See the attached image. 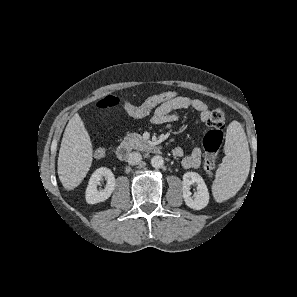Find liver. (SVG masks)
<instances>
[{
  "label": "liver",
  "mask_w": 297,
  "mask_h": 297,
  "mask_svg": "<svg viewBox=\"0 0 297 297\" xmlns=\"http://www.w3.org/2000/svg\"><path fill=\"white\" fill-rule=\"evenodd\" d=\"M90 136L76 113L68 122L58 156V176L67 190L76 188L86 177L92 163Z\"/></svg>",
  "instance_id": "1"
}]
</instances>
